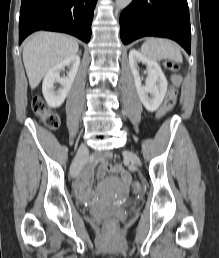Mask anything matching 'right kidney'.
I'll list each match as a JSON object with an SVG mask.
<instances>
[{"mask_svg": "<svg viewBox=\"0 0 219 258\" xmlns=\"http://www.w3.org/2000/svg\"><path fill=\"white\" fill-rule=\"evenodd\" d=\"M79 65V55H73L61 61L48 71L42 83L43 96L48 106L57 108L63 104L74 82ZM66 67L69 68L67 76L60 77V72L65 70ZM56 83L61 85L57 91L54 86Z\"/></svg>", "mask_w": 219, "mask_h": 258, "instance_id": "ca27d5eb", "label": "right kidney"}]
</instances>
